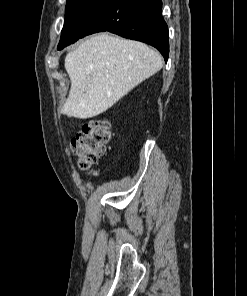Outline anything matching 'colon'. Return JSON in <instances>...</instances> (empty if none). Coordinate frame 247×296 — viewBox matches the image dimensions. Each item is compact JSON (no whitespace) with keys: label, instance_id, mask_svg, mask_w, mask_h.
Masks as SVG:
<instances>
[{"label":"colon","instance_id":"5ec220e1","mask_svg":"<svg viewBox=\"0 0 247 296\" xmlns=\"http://www.w3.org/2000/svg\"><path fill=\"white\" fill-rule=\"evenodd\" d=\"M109 124L106 120H89L72 140L73 152L78 156L80 169L88 171L104 155L110 141Z\"/></svg>","mask_w":247,"mask_h":296}]
</instances>
